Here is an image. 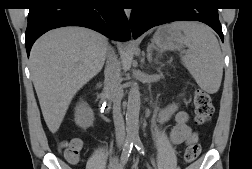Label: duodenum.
I'll use <instances>...</instances> for the list:
<instances>
[{
	"label": "duodenum",
	"mask_w": 252,
	"mask_h": 169,
	"mask_svg": "<svg viewBox=\"0 0 252 169\" xmlns=\"http://www.w3.org/2000/svg\"><path fill=\"white\" fill-rule=\"evenodd\" d=\"M108 100H107V95L105 93L101 94V103L106 107Z\"/></svg>",
	"instance_id": "obj_1"
}]
</instances>
